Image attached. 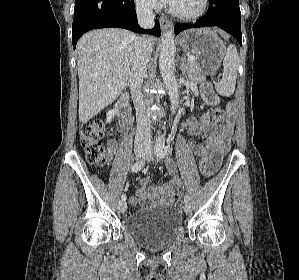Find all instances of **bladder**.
Here are the masks:
<instances>
[{
    "label": "bladder",
    "mask_w": 299,
    "mask_h": 280,
    "mask_svg": "<svg viewBox=\"0 0 299 280\" xmlns=\"http://www.w3.org/2000/svg\"><path fill=\"white\" fill-rule=\"evenodd\" d=\"M125 228L139 244L160 249L170 245L180 234L182 216L173 207L157 205L129 217Z\"/></svg>",
    "instance_id": "obj_1"
}]
</instances>
